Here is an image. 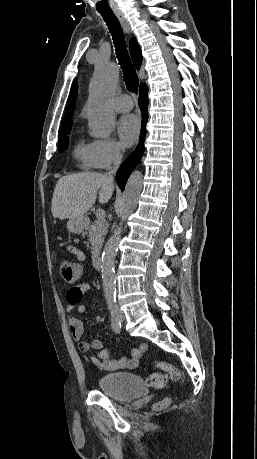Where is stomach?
<instances>
[{
    "label": "stomach",
    "instance_id": "1",
    "mask_svg": "<svg viewBox=\"0 0 257 459\" xmlns=\"http://www.w3.org/2000/svg\"><path fill=\"white\" fill-rule=\"evenodd\" d=\"M86 228V219L82 217L71 218L67 222V229L74 234L82 233Z\"/></svg>",
    "mask_w": 257,
    "mask_h": 459
}]
</instances>
